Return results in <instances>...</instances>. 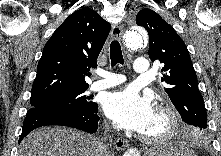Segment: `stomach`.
<instances>
[{
  "label": "stomach",
  "mask_w": 221,
  "mask_h": 156,
  "mask_svg": "<svg viewBox=\"0 0 221 156\" xmlns=\"http://www.w3.org/2000/svg\"><path fill=\"white\" fill-rule=\"evenodd\" d=\"M148 156H197L194 151L177 141H168L149 151Z\"/></svg>",
  "instance_id": "0dacf381"
}]
</instances>
